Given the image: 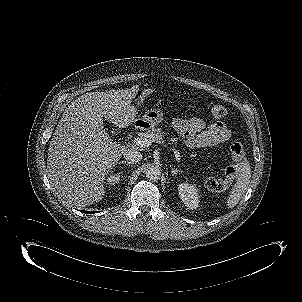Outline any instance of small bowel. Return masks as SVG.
Instances as JSON below:
<instances>
[{
	"label": "small bowel",
	"instance_id": "c3829d8e",
	"mask_svg": "<svg viewBox=\"0 0 302 302\" xmlns=\"http://www.w3.org/2000/svg\"><path fill=\"white\" fill-rule=\"evenodd\" d=\"M173 127L189 147H213L225 143L231 135L230 129L222 121L207 125L199 118H176L173 120Z\"/></svg>",
	"mask_w": 302,
	"mask_h": 302
}]
</instances>
